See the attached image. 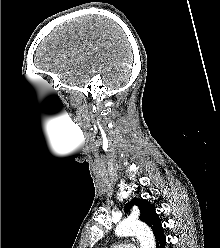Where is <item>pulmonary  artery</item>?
Returning a JSON list of instances; mask_svg holds the SVG:
<instances>
[{
    "instance_id": "1",
    "label": "pulmonary artery",
    "mask_w": 220,
    "mask_h": 248,
    "mask_svg": "<svg viewBox=\"0 0 220 248\" xmlns=\"http://www.w3.org/2000/svg\"><path fill=\"white\" fill-rule=\"evenodd\" d=\"M113 248H136V247L132 244H120V245L114 246Z\"/></svg>"
}]
</instances>
